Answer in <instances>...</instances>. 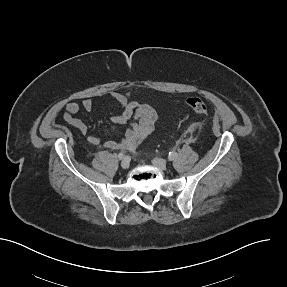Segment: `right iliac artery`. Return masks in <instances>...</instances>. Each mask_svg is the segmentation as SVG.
I'll return each mask as SVG.
<instances>
[{"mask_svg": "<svg viewBox=\"0 0 287 287\" xmlns=\"http://www.w3.org/2000/svg\"><path fill=\"white\" fill-rule=\"evenodd\" d=\"M124 157H125L124 153H119L118 158H119L120 160L124 159Z\"/></svg>", "mask_w": 287, "mask_h": 287, "instance_id": "1", "label": "right iliac artery"}]
</instances>
